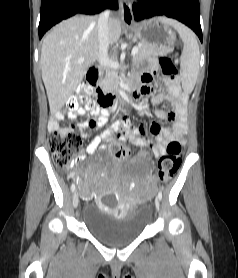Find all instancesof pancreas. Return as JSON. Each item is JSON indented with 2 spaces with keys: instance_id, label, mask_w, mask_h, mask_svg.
<instances>
[{
  "instance_id": "pancreas-1",
  "label": "pancreas",
  "mask_w": 238,
  "mask_h": 278,
  "mask_svg": "<svg viewBox=\"0 0 238 278\" xmlns=\"http://www.w3.org/2000/svg\"><path fill=\"white\" fill-rule=\"evenodd\" d=\"M138 48L139 50L137 54L133 57L134 63H137L150 56H163L171 51V49L160 50L154 46L146 44H141ZM119 81L120 76L118 75L117 71L113 69H107L105 75H102L100 78L99 84L104 90L112 91L118 87Z\"/></svg>"
}]
</instances>
